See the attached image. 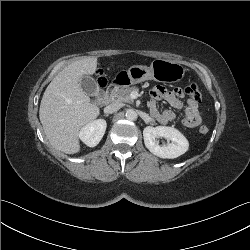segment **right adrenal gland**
Listing matches in <instances>:
<instances>
[{
  "label": "right adrenal gland",
  "instance_id": "obj_1",
  "mask_svg": "<svg viewBox=\"0 0 250 250\" xmlns=\"http://www.w3.org/2000/svg\"><path fill=\"white\" fill-rule=\"evenodd\" d=\"M105 117H108L109 115L108 114H104Z\"/></svg>",
  "mask_w": 250,
  "mask_h": 250
}]
</instances>
